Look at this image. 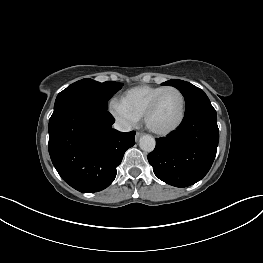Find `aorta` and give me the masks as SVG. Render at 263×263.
<instances>
[{
	"label": "aorta",
	"instance_id": "obj_1",
	"mask_svg": "<svg viewBox=\"0 0 263 263\" xmlns=\"http://www.w3.org/2000/svg\"><path fill=\"white\" fill-rule=\"evenodd\" d=\"M155 144V139L150 135H143L139 140V146L145 152H152Z\"/></svg>",
	"mask_w": 263,
	"mask_h": 263
}]
</instances>
